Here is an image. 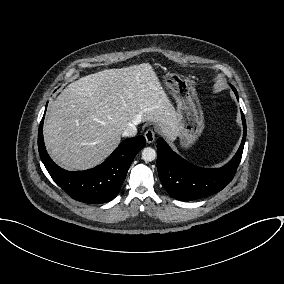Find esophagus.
Returning <instances> with one entry per match:
<instances>
[{
    "mask_svg": "<svg viewBox=\"0 0 284 284\" xmlns=\"http://www.w3.org/2000/svg\"><path fill=\"white\" fill-rule=\"evenodd\" d=\"M144 137L147 143H153L155 140V132L152 129L146 130Z\"/></svg>",
    "mask_w": 284,
    "mask_h": 284,
    "instance_id": "1",
    "label": "esophagus"
}]
</instances>
